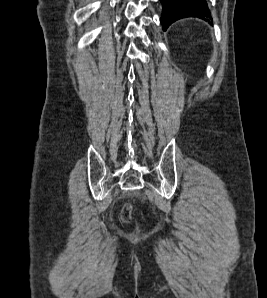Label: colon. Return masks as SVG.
I'll return each instance as SVG.
<instances>
[{
  "instance_id": "1",
  "label": "colon",
  "mask_w": 267,
  "mask_h": 298,
  "mask_svg": "<svg viewBox=\"0 0 267 298\" xmlns=\"http://www.w3.org/2000/svg\"><path fill=\"white\" fill-rule=\"evenodd\" d=\"M121 217L124 222H129L131 219V208L129 205H126L121 212Z\"/></svg>"
}]
</instances>
